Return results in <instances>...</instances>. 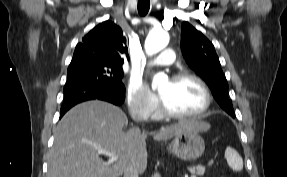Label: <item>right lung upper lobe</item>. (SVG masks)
Here are the masks:
<instances>
[{
  "instance_id": "obj_1",
  "label": "right lung upper lobe",
  "mask_w": 287,
  "mask_h": 177,
  "mask_svg": "<svg viewBox=\"0 0 287 177\" xmlns=\"http://www.w3.org/2000/svg\"><path fill=\"white\" fill-rule=\"evenodd\" d=\"M123 54H128L123 32L118 25L107 20L94 27L77 44L71 63L103 61L122 68Z\"/></svg>"
}]
</instances>
